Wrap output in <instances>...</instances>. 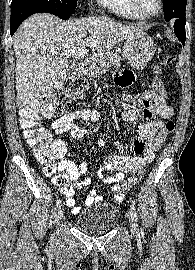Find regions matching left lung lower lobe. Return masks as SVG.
Listing matches in <instances>:
<instances>
[{
  "label": "left lung lower lobe",
  "mask_w": 195,
  "mask_h": 270,
  "mask_svg": "<svg viewBox=\"0 0 195 270\" xmlns=\"http://www.w3.org/2000/svg\"><path fill=\"white\" fill-rule=\"evenodd\" d=\"M171 23L174 25V32L175 35L178 37V39L182 42L183 47L185 44V39H186V33H185V19H174L171 21Z\"/></svg>",
  "instance_id": "0a47b994"
}]
</instances>
